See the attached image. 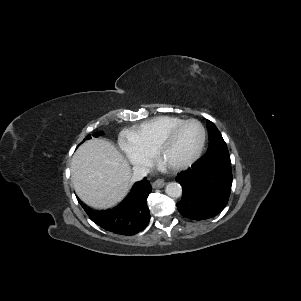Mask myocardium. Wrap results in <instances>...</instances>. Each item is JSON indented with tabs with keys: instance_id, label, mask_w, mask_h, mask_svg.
Segmentation results:
<instances>
[{
	"instance_id": "myocardium-1",
	"label": "myocardium",
	"mask_w": 301,
	"mask_h": 301,
	"mask_svg": "<svg viewBox=\"0 0 301 301\" xmlns=\"http://www.w3.org/2000/svg\"><path fill=\"white\" fill-rule=\"evenodd\" d=\"M195 123L201 129V139L195 153L187 160L177 163V164H166L163 160L164 151L166 146L170 143V141L176 136V134L183 128L186 124ZM206 142V129L204 125L197 119H187L164 133L157 141L154 149V154L158 163L170 170H181L192 165L202 154Z\"/></svg>"
}]
</instances>
